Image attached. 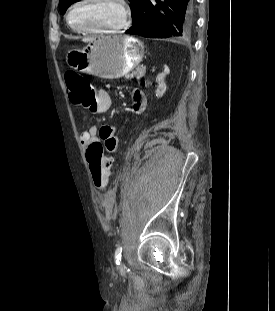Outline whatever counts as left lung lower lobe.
<instances>
[{
    "label": "left lung lower lobe",
    "mask_w": 275,
    "mask_h": 311,
    "mask_svg": "<svg viewBox=\"0 0 275 311\" xmlns=\"http://www.w3.org/2000/svg\"><path fill=\"white\" fill-rule=\"evenodd\" d=\"M145 0L126 31L149 38L185 37L193 28L194 0Z\"/></svg>",
    "instance_id": "left-lung-lower-lobe-1"
}]
</instances>
